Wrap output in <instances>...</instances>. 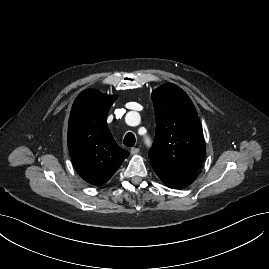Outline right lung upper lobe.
Returning a JSON list of instances; mask_svg holds the SVG:
<instances>
[{"label": "right lung upper lobe", "instance_id": "cb5924a9", "mask_svg": "<svg viewBox=\"0 0 269 269\" xmlns=\"http://www.w3.org/2000/svg\"><path fill=\"white\" fill-rule=\"evenodd\" d=\"M116 99V95L87 89L72 106L68 128L70 156L80 177L93 185L106 183L129 156L116 144L106 123Z\"/></svg>", "mask_w": 269, "mask_h": 269}]
</instances>
